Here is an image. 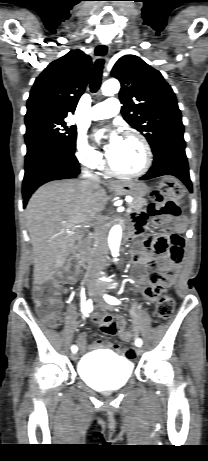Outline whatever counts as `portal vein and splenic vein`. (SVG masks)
I'll return each mask as SVG.
<instances>
[{
  "label": "portal vein and splenic vein",
  "mask_w": 208,
  "mask_h": 461,
  "mask_svg": "<svg viewBox=\"0 0 208 461\" xmlns=\"http://www.w3.org/2000/svg\"><path fill=\"white\" fill-rule=\"evenodd\" d=\"M126 201L129 202V203L131 202V200H128V199H126ZM130 211H131V209L128 208V209H127V212H130Z\"/></svg>",
  "instance_id": "1"
}]
</instances>
